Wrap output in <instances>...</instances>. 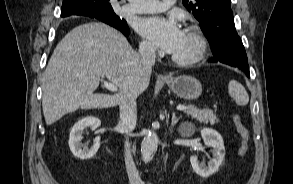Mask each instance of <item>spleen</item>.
I'll return each mask as SVG.
<instances>
[{
	"label": "spleen",
	"instance_id": "3e777b00",
	"mask_svg": "<svg viewBox=\"0 0 293 184\" xmlns=\"http://www.w3.org/2000/svg\"><path fill=\"white\" fill-rule=\"evenodd\" d=\"M228 92L237 105L244 106L248 104L249 96L241 83L231 80L228 85Z\"/></svg>",
	"mask_w": 293,
	"mask_h": 184
}]
</instances>
